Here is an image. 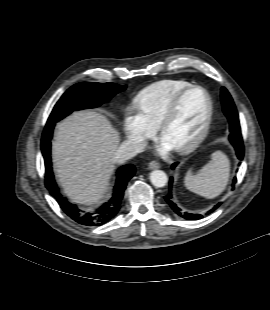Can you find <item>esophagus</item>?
<instances>
[{"label":"esophagus","mask_w":270,"mask_h":310,"mask_svg":"<svg viewBox=\"0 0 270 310\" xmlns=\"http://www.w3.org/2000/svg\"><path fill=\"white\" fill-rule=\"evenodd\" d=\"M160 163L157 162V161H151L149 164H148V168L149 169H158L160 168Z\"/></svg>","instance_id":"1"}]
</instances>
